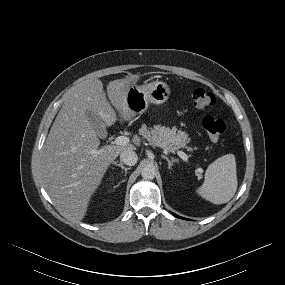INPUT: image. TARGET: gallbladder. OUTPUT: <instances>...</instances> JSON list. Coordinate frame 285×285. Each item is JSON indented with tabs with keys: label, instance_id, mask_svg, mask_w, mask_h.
Returning <instances> with one entry per match:
<instances>
[{
	"label": "gallbladder",
	"instance_id": "gallbladder-1",
	"mask_svg": "<svg viewBox=\"0 0 285 285\" xmlns=\"http://www.w3.org/2000/svg\"><path fill=\"white\" fill-rule=\"evenodd\" d=\"M87 118L90 121L93 129L100 138H105L107 135L106 128L100 117L96 116L92 112H87Z\"/></svg>",
	"mask_w": 285,
	"mask_h": 285
}]
</instances>
